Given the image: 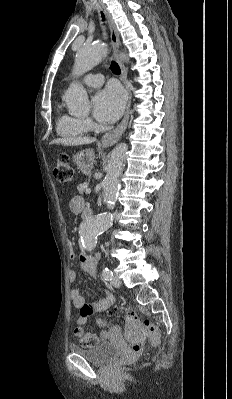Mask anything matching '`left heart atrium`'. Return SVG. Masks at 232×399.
Returning a JSON list of instances; mask_svg holds the SVG:
<instances>
[{
    "label": "left heart atrium",
    "mask_w": 232,
    "mask_h": 399,
    "mask_svg": "<svg viewBox=\"0 0 232 399\" xmlns=\"http://www.w3.org/2000/svg\"><path fill=\"white\" fill-rule=\"evenodd\" d=\"M125 99L123 93L115 87H107L93 100V116L103 124H112L123 113Z\"/></svg>",
    "instance_id": "left-heart-atrium-1"
}]
</instances>
